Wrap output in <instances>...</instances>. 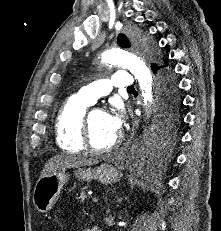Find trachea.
<instances>
[{"label":"trachea","mask_w":221,"mask_h":231,"mask_svg":"<svg viewBox=\"0 0 221 231\" xmlns=\"http://www.w3.org/2000/svg\"><path fill=\"white\" fill-rule=\"evenodd\" d=\"M127 90H134V87H129L127 88Z\"/></svg>","instance_id":"trachea-1"}]
</instances>
